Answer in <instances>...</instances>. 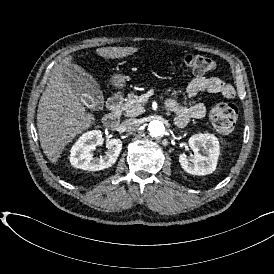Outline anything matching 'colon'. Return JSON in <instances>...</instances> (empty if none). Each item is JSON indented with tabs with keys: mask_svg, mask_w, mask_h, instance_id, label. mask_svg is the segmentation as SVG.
Here are the masks:
<instances>
[{
	"mask_svg": "<svg viewBox=\"0 0 274 274\" xmlns=\"http://www.w3.org/2000/svg\"><path fill=\"white\" fill-rule=\"evenodd\" d=\"M188 70L195 74L212 73L215 69L213 59L204 54H187L183 59ZM212 126L220 133L231 132L237 122V109L231 103H219L211 111Z\"/></svg>",
	"mask_w": 274,
	"mask_h": 274,
	"instance_id": "5ec220e1",
	"label": "colon"
}]
</instances>
